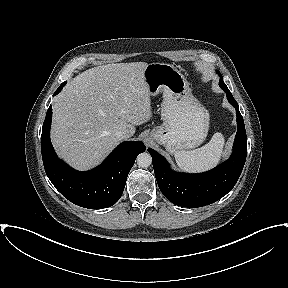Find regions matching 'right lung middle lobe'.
Wrapping results in <instances>:
<instances>
[{
    "instance_id": "dd1d6c3e",
    "label": "right lung middle lobe",
    "mask_w": 288,
    "mask_h": 288,
    "mask_svg": "<svg viewBox=\"0 0 288 288\" xmlns=\"http://www.w3.org/2000/svg\"><path fill=\"white\" fill-rule=\"evenodd\" d=\"M65 83H66V82L62 83L60 86H63V85H65Z\"/></svg>"
}]
</instances>
